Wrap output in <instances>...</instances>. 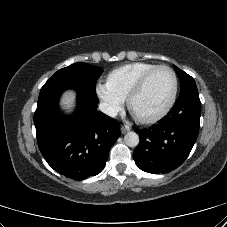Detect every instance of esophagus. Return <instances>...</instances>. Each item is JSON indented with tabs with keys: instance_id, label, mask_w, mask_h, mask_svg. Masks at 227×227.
<instances>
[{
	"instance_id": "obj_1",
	"label": "esophagus",
	"mask_w": 227,
	"mask_h": 227,
	"mask_svg": "<svg viewBox=\"0 0 227 227\" xmlns=\"http://www.w3.org/2000/svg\"><path fill=\"white\" fill-rule=\"evenodd\" d=\"M130 131V127L128 125L121 126V133L125 134L126 132Z\"/></svg>"
}]
</instances>
